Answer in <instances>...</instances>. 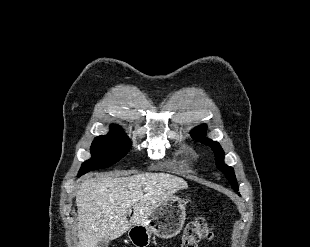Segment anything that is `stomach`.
<instances>
[{"label": "stomach", "mask_w": 310, "mask_h": 247, "mask_svg": "<svg viewBox=\"0 0 310 247\" xmlns=\"http://www.w3.org/2000/svg\"><path fill=\"white\" fill-rule=\"evenodd\" d=\"M188 202L187 196L174 195L158 204L145 222L130 228L131 243L135 247H148L152 235L162 239L175 237L184 225Z\"/></svg>", "instance_id": "1"}]
</instances>
